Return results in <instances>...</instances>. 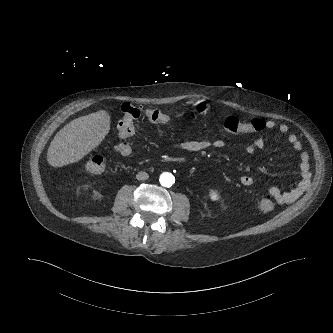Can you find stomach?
<instances>
[{"label":"stomach","mask_w":333,"mask_h":333,"mask_svg":"<svg viewBox=\"0 0 333 333\" xmlns=\"http://www.w3.org/2000/svg\"><path fill=\"white\" fill-rule=\"evenodd\" d=\"M193 106L195 109L200 112L201 114H206L208 110V105L205 101L203 100H198L195 103H193Z\"/></svg>","instance_id":"1"}]
</instances>
